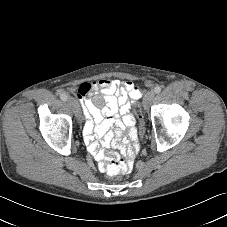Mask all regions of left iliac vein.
I'll list each match as a JSON object with an SVG mask.
<instances>
[{
	"label": "left iliac vein",
	"mask_w": 227,
	"mask_h": 227,
	"mask_svg": "<svg viewBox=\"0 0 227 227\" xmlns=\"http://www.w3.org/2000/svg\"><path fill=\"white\" fill-rule=\"evenodd\" d=\"M154 97H155V93L153 91H149L145 94L143 98V107L145 110L149 109Z\"/></svg>",
	"instance_id": "left-iliac-vein-1"
}]
</instances>
